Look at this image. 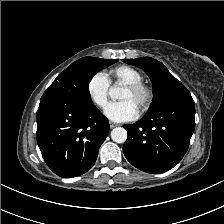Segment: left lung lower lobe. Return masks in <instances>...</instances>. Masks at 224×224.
<instances>
[{"label":"left lung lower lobe","mask_w":224,"mask_h":224,"mask_svg":"<svg viewBox=\"0 0 224 224\" xmlns=\"http://www.w3.org/2000/svg\"><path fill=\"white\" fill-rule=\"evenodd\" d=\"M192 97L171 102L159 111L147 113L132 125H125L128 138L123 146L127 160L148 173H163L185 155L195 128Z\"/></svg>","instance_id":"0a47b994"}]
</instances>
